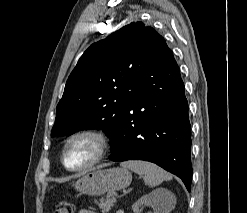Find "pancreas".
<instances>
[{
  "mask_svg": "<svg viewBox=\"0 0 247 213\" xmlns=\"http://www.w3.org/2000/svg\"><path fill=\"white\" fill-rule=\"evenodd\" d=\"M95 203L102 210V213L109 212L111 208L114 206V202L112 201V198H110V195H107L99 199V201L95 200Z\"/></svg>",
  "mask_w": 247,
  "mask_h": 213,
  "instance_id": "cf45deb5",
  "label": "pancreas"
}]
</instances>
